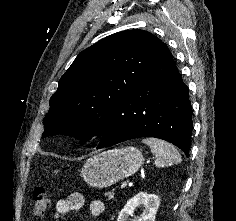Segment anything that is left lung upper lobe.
<instances>
[{
    "mask_svg": "<svg viewBox=\"0 0 236 221\" xmlns=\"http://www.w3.org/2000/svg\"><path fill=\"white\" fill-rule=\"evenodd\" d=\"M165 47L151 33L134 29L80 52L50 98L43 137L62 133L86 141L100 135Z\"/></svg>",
    "mask_w": 236,
    "mask_h": 221,
    "instance_id": "obj_1",
    "label": "left lung upper lobe"
}]
</instances>
